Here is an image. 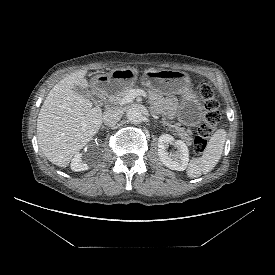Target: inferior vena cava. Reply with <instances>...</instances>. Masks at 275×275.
<instances>
[{
  "label": "inferior vena cava",
  "mask_w": 275,
  "mask_h": 275,
  "mask_svg": "<svg viewBox=\"0 0 275 275\" xmlns=\"http://www.w3.org/2000/svg\"><path fill=\"white\" fill-rule=\"evenodd\" d=\"M122 117V113L117 108H111L104 112L103 122L105 125H113L117 123Z\"/></svg>",
  "instance_id": "obj_1"
}]
</instances>
